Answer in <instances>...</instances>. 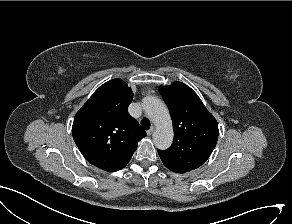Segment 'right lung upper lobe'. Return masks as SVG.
<instances>
[{"label": "right lung upper lobe", "instance_id": "1", "mask_svg": "<svg viewBox=\"0 0 292 224\" xmlns=\"http://www.w3.org/2000/svg\"><path fill=\"white\" fill-rule=\"evenodd\" d=\"M133 92L121 79L101 85L76 113L72 134L82 155L96 167L117 171L126 166L146 136L127 110Z\"/></svg>", "mask_w": 292, "mask_h": 224}]
</instances>
